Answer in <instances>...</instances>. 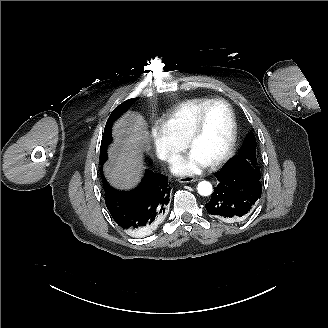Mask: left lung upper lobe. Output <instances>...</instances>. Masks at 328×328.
<instances>
[{
    "label": "left lung upper lobe",
    "instance_id": "5c2ea615",
    "mask_svg": "<svg viewBox=\"0 0 328 328\" xmlns=\"http://www.w3.org/2000/svg\"><path fill=\"white\" fill-rule=\"evenodd\" d=\"M225 168L253 172L257 178H261L260 168L256 158V139L252 132L248 134L239 154L232 158Z\"/></svg>",
    "mask_w": 328,
    "mask_h": 328
}]
</instances>
